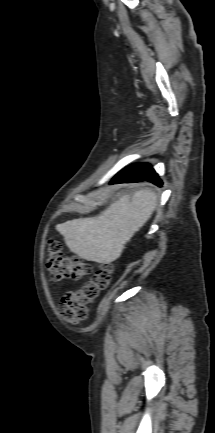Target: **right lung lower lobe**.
<instances>
[{
  "instance_id": "obj_1",
  "label": "right lung lower lobe",
  "mask_w": 215,
  "mask_h": 433,
  "mask_svg": "<svg viewBox=\"0 0 215 433\" xmlns=\"http://www.w3.org/2000/svg\"><path fill=\"white\" fill-rule=\"evenodd\" d=\"M141 181H149L158 186L162 185V181L154 169L146 163H137L125 168L112 179L111 184Z\"/></svg>"
}]
</instances>
